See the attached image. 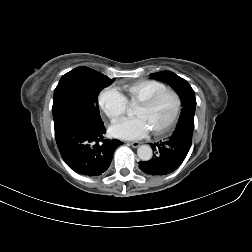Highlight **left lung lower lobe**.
Instances as JSON below:
<instances>
[{"label": "left lung lower lobe", "mask_w": 252, "mask_h": 252, "mask_svg": "<svg viewBox=\"0 0 252 252\" xmlns=\"http://www.w3.org/2000/svg\"><path fill=\"white\" fill-rule=\"evenodd\" d=\"M193 130L194 119L182 117L168 139L152 144L153 157L148 161L139 162L140 169L152 176L166 175L175 171L189 152Z\"/></svg>", "instance_id": "1"}]
</instances>
